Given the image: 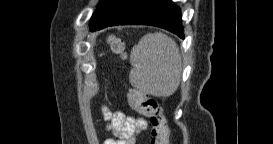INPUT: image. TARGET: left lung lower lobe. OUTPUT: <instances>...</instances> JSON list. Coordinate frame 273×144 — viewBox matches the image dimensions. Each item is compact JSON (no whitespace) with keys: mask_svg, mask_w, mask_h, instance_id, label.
<instances>
[{"mask_svg":"<svg viewBox=\"0 0 273 144\" xmlns=\"http://www.w3.org/2000/svg\"><path fill=\"white\" fill-rule=\"evenodd\" d=\"M127 24L157 26L184 38L180 9L171 0H101L90 30Z\"/></svg>","mask_w":273,"mask_h":144,"instance_id":"1","label":"left lung lower lobe"}]
</instances>
